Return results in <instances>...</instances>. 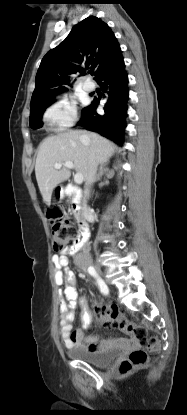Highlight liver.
<instances>
[{
  "label": "liver",
  "mask_w": 187,
  "mask_h": 415,
  "mask_svg": "<svg viewBox=\"0 0 187 415\" xmlns=\"http://www.w3.org/2000/svg\"><path fill=\"white\" fill-rule=\"evenodd\" d=\"M115 148L113 142L93 132L74 130L44 139L39 146L35 164L36 180L43 201L50 205L53 189L71 176L64 162H73L75 170L86 180L90 152L102 164L109 160ZM55 163H61L62 167L56 169Z\"/></svg>",
  "instance_id": "1"
}]
</instances>
